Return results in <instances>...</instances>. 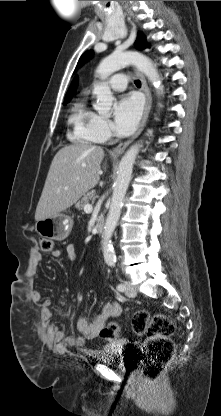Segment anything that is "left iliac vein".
Returning a JSON list of instances; mask_svg holds the SVG:
<instances>
[{
  "instance_id": "4c4485c4",
  "label": "left iliac vein",
  "mask_w": 221,
  "mask_h": 416,
  "mask_svg": "<svg viewBox=\"0 0 221 416\" xmlns=\"http://www.w3.org/2000/svg\"><path fill=\"white\" fill-rule=\"evenodd\" d=\"M126 285V290H125V294L128 297H135L137 294L136 289L133 287L132 283L130 281H126L125 282Z\"/></svg>"
}]
</instances>
